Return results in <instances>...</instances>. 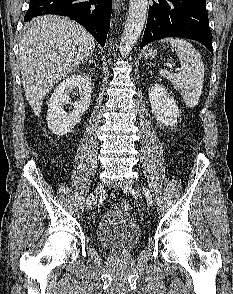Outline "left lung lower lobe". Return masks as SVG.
Here are the masks:
<instances>
[{
  "instance_id": "1",
  "label": "left lung lower lobe",
  "mask_w": 233,
  "mask_h": 294,
  "mask_svg": "<svg viewBox=\"0 0 233 294\" xmlns=\"http://www.w3.org/2000/svg\"><path fill=\"white\" fill-rule=\"evenodd\" d=\"M166 37L196 40L213 54L206 0H153L140 48Z\"/></svg>"
}]
</instances>
